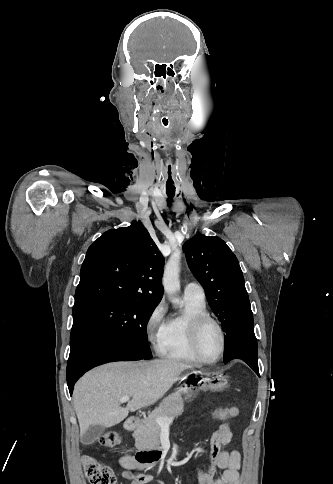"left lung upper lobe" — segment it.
<instances>
[{"label":"left lung upper lobe","instance_id":"left-lung-upper-lobe-1","mask_svg":"<svg viewBox=\"0 0 333 484\" xmlns=\"http://www.w3.org/2000/svg\"><path fill=\"white\" fill-rule=\"evenodd\" d=\"M189 268L203 286L223 330L250 308L244 277L235 254L218 237L197 234L183 247Z\"/></svg>","mask_w":333,"mask_h":484}]
</instances>
